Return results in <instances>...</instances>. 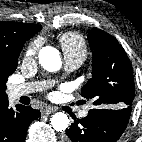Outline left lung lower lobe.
Masks as SVG:
<instances>
[{
    "mask_svg": "<svg viewBox=\"0 0 142 142\" xmlns=\"http://www.w3.org/2000/svg\"><path fill=\"white\" fill-rule=\"evenodd\" d=\"M131 108H95L76 119L66 131L64 142H116L124 132Z\"/></svg>",
    "mask_w": 142,
    "mask_h": 142,
    "instance_id": "obj_1",
    "label": "left lung lower lobe"
}]
</instances>
